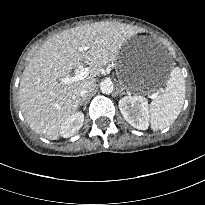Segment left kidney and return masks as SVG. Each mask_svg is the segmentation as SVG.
<instances>
[{
  "label": "left kidney",
  "instance_id": "left-kidney-1",
  "mask_svg": "<svg viewBox=\"0 0 205 205\" xmlns=\"http://www.w3.org/2000/svg\"><path fill=\"white\" fill-rule=\"evenodd\" d=\"M124 119L134 128L146 130L149 126L148 101L142 96H125L119 100Z\"/></svg>",
  "mask_w": 205,
  "mask_h": 205
}]
</instances>
